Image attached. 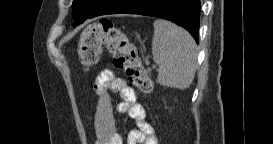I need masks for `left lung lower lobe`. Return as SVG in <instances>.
I'll return each instance as SVG.
<instances>
[{"mask_svg": "<svg viewBox=\"0 0 273 144\" xmlns=\"http://www.w3.org/2000/svg\"><path fill=\"white\" fill-rule=\"evenodd\" d=\"M86 1V2H85ZM73 13L74 25L86 19L106 14H140L170 20L188 30L198 43L200 0H96L87 7Z\"/></svg>", "mask_w": 273, "mask_h": 144, "instance_id": "0a47b994", "label": "left lung lower lobe"}]
</instances>
